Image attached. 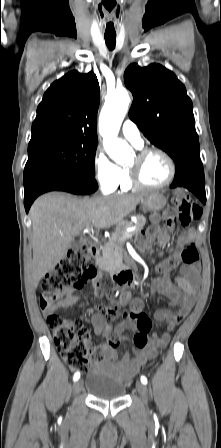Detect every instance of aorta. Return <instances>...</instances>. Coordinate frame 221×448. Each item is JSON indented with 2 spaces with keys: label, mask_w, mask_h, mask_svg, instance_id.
I'll use <instances>...</instances> for the list:
<instances>
[{
  "label": "aorta",
  "mask_w": 221,
  "mask_h": 448,
  "mask_svg": "<svg viewBox=\"0 0 221 448\" xmlns=\"http://www.w3.org/2000/svg\"><path fill=\"white\" fill-rule=\"evenodd\" d=\"M130 97L126 90L109 95L100 114L99 129L107 154L118 164L131 158L132 149L127 142L117 138L121 123L127 113Z\"/></svg>",
  "instance_id": "1"
}]
</instances>
